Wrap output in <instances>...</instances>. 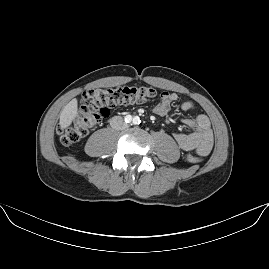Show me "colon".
I'll list each match as a JSON object with an SVG mask.
<instances>
[{"instance_id": "obj_1", "label": "colon", "mask_w": 269, "mask_h": 269, "mask_svg": "<svg viewBox=\"0 0 269 269\" xmlns=\"http://www.w3.org/2000/svg\"><path fill=\"white\" fill-rule=\"evenodd\" d=\"M157 91L149 86L121 84L107 88L87 87L82 92L83 106L76 114L74 121L67 128H59L58 135L62 143L71 145L94 130L108 109L117 106L141 103L153 99ZM185 160L199 162L202 157L197 154H186Z\"/></svg>"}]
</instances>
